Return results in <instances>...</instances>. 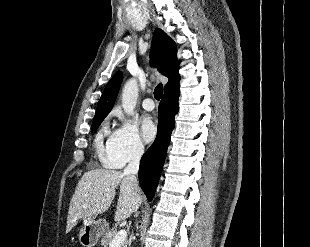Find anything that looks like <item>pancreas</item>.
I'll use <instances>...</instances> for the list:
<instances>
[{"mask_svg": "<svg viewBox=\"0 0 310 247\" xmlns=\"http://www.w3.org/2000/svg\"><path fill=\"white\" fill-rule=\"evenodd\" d=\"M117 233L118 231L116 227H113L112 229L108 230V232L105 234V236L101 240V244L103 245V247H109L111 241L113 240V238L116 236ZM120 247H127V243L123 242L120 245Z\"/></svg>", "mask_w": 310, "mask_h": 247, "instance_id": "obj_1", "label": "pancreas"}]
</instances>
